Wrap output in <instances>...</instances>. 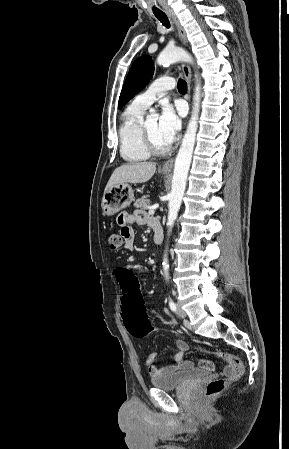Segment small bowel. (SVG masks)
<instances>
[{
  "label": "small bowel",
  "instance_id": "obj_1",
  "mask_svg": "<svg viewBox=\"0 0 289 449\" xmlns=\"http://www.w3.org/2000/svg\"><path fill=\"white\" fill-rule=\"evenodd\" d=\"M118 224L120 226V233L124 239V248L127 251H132L134 248L135 232L132 228V224L137 225H148L154 227L155 224H159L158 220L150 217L147 213L137 210L132 213L123 212L118 217ZM120 268H132L135 269L133 265H125ZM178 352L174 356V364L169 366H158L154 365L155 360L158 357L157 352H152L145 360V365L148 368L150 375L156 376L164 373L190 369L193 367V362L189 360H184V353L188 350V344L184 340L178 339L176 341ZM199 367L205 370H213L215 365L213 361L202 359L199 361ZM234 368L231 365L225 366L221 373L225 376H229L233 372Z\"/></svg>",
  "mask_w": 289,
  "mask_h": 449
}]
</instances>
